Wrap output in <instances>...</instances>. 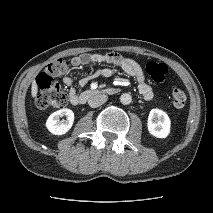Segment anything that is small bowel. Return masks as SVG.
<instances>
[{
	"label": "small bowel",
	"mask_w": 213,
	"mask_h": 213,
	"mask_svg": "<svg viewBox=\"0 0 213 213\" xmlns=\"http://www.w3.org/2000/svg\"><path fill=\"white\" fill-rule=\"evenodd\" d=\"M101 63H110L119 66L127 75L133 77L136 80L138 90L145 100H151L153 98L154 91L146 81L141 65L130 57L121 56L117 53H84L74 56L71 59V64L75 67ZM113 73L114 71L111 67L101 68L91 75L82 77L78 81V85L83 87L93 78L99 76L109 78L113 75ZM63 83L69 89L70 102L74 105L78 104L79 94L74 87L73 79L69 75H66L63 77Z\"/></svg>",
	"instance_id": "obj_1"
}]
</instances>
